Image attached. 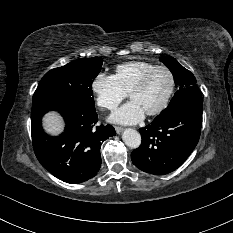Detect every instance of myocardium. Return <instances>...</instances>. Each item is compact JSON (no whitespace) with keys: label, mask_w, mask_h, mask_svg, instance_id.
<instances>
[{"label":"myocardium","mask_w":233,"mask_h":233,"mask_svg":"<svg viewBox=\"0 0 233 233\" xmlns=\"http://www.w3.org/2000/svg\"><path fill=\"white\" fill-rule=\"evenodd\" d=\"M158 71H165L168 73V75L170 77V88H169V91H168L164 101L162 102V104L157 109L146 113L147 116H157V115L161 114L168 107V105L173 97V94L175 92V88H176V80H175V76H174L173 72L166 66H156L155 68H153L150 71H148L147 73H145L140 78V80L131 88V90L128 93L129 97H131L132 94H134L138 91H141L145 87V85L147 84L149 79L152 77V75Z\"/></svg>","instance_id":"obj_1"}]
</instances>
